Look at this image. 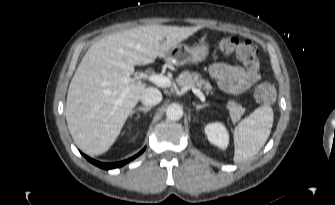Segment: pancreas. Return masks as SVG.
Instances as JSON below:
<instances>
[{"label": "pancreas", "mask_w": 335, "mask_h": 205, "mask_svg": "<svg viewBox=\"0 0 335 205\" xmlns=\"http://www.w3.org/2000/svg\"><path fill=\"white\" fill-rule=\"evenodd\" d=\"M176 81L181 86H187V87L197 86L200 89L204 88L206 94L209 93L212 94L211 92L212 86L210 82L204 80L202 76L197 72L183 71L178 76ZM226 107L229 111V115L233 123L238 122L245 111V109L234 100H229Z\"/></svg>", "instance_id": "cf45deb5"}]
</instances>
